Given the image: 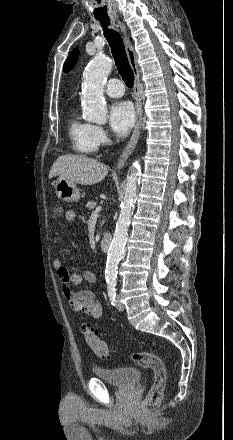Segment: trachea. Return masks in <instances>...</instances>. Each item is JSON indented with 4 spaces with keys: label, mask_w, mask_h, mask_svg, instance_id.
Wrapping results in <instances>:
<instances>
[{
    "label": "trachea",
    "mask_w": 233,
    "mask_h": 440,
    "mask_svg": "<svg viewBox=\"0 0 233 440\" xmlns=\"http://www.w3.org/2000/svg\"><path fill=\"white\" fill-rule=\"evenodd\" d=\"M98 20L101 23V26L104 30V36L111 48V52L114 57L117 69L127 87L132 88L134 84V73L129 65L123 40L117 31L113 29H108V26L110 25V19Z\"/></svg>",
    "instance_id": "trachea-1"
}]
</instances>
